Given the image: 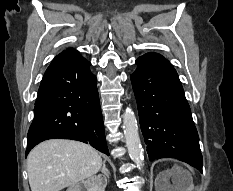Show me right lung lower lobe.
<instances>
[{"label": "right lung lower lobe", "instance_id": "98d812e1", "mask_svg": "<svg viewBox=\"0 0 233 191\" xmlns=\"http://www.w3.org/2000/svg\"><path fill=\"white\" fill-rule=\"evenodd\" d=\"M89 66L82 56H73L55 59L47 68L28 131L26 156L35 145L53 138L89 143L109 155L97 78Z\"/></svg>", "mask_w": 233, "mask_h": 191}]
</instances>
